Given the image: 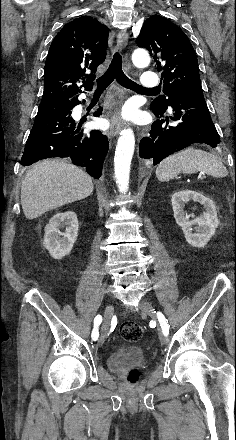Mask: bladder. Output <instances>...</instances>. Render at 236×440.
Returning a JSON list of instances; mask_svg holds the SVG:
<instances>
[{
    "instance_id": "obj_1",
    "label": "bladder",
    "mask_w": 236,
    "mask_h": 440,
    "mask_svg": "<svg viewBox=\"0 0 236 440\" xmlns=\"http://www.w3.org/2000/svg\"><path fill=\"white\" fill-rule=\"evenodd\" d=\"M144 351L136 345L122 346L115 349L107 358L108 368L114 372L119 373L127 365L144 364Z\"/></svg>"
}]
</instances>
